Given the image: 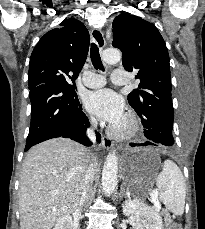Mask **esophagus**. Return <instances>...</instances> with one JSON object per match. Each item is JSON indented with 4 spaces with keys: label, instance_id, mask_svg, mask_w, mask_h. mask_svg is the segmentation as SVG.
Here are the masks:
<instances>
[{
    "label": "esophagus",
    "instance_id": "1",
    "mask_svg": "<svg viewBox=\"0 0 205 229\" xmlns=\"http://www.w3.org/2000/svg\"><path fill=\"white\" fill-rule=\"evenodd\" d=\"M91 38L99 46L100 49L105 47V39L101 29L93 28L91 30ZM102 145L106 150H109L113 147V142L109 137L102 136Z\"/></svg>",
    "mask_w": 205,
    "mask_h": 229
}]
</instances>
